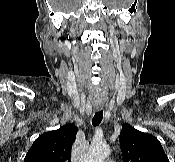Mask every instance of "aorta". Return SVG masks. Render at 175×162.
<instances>
[{
	"label": "aorta",
	"instance_id": "762f6f07",
	"mask_svg": "<svg viewBox=\"0 0 175 162\" xmlns=\"http://www.w3.org/2000/svg\"><path fill=\"white\" fill-rule=\"evenodd\" d=\"M110 154V147L103 142H93L82 162H103Z\"/></svg>",
	"mask_w": 175,
	"mask_h": 162
}]
</instances>
